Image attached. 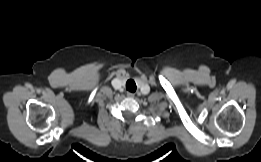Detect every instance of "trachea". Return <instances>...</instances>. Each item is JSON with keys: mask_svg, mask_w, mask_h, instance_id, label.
I'll list each match as a JSON object with an SVG mask.
<instances>
[{"mask_svg": "<svg viewBox=\"0 0 261 162\" xmlns=\"http://www.w3.org/2000/svg\"><path fill=\"white\" fill-rule=\"evenodd\" d=\"M126 89L130 92L136 91V84L133 80H128L126 83Z\"/></svg>", "mask_w": 261, "mask_h": 162, "instance_id": "trachea-1", "label": "trachea"}]
</instances>
